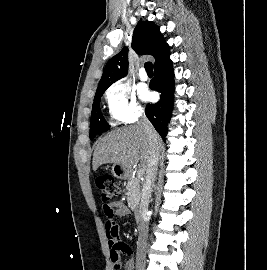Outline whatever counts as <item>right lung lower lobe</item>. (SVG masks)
<instances>
[{
	"mask_svg": "<svg viewBox=\"0 0 267 270\" xmlns=\"http://www.w3.org/2000/svg\"><path fill=\"white\" fill-rule=\"evenodd\" d=\"M169 56L168 49L156 61L154 64V79L150 82V88L161 93L160 101L155 104H148L145 109L147 118L163 139L167 133V123L173 107L174 74Z\"/></svg>",
	"mask_w": 267,
	"mask_h": 270,
	"instance_id": "98d812e1",
	"label": "right lung lower lobe"
}]
</instances>
